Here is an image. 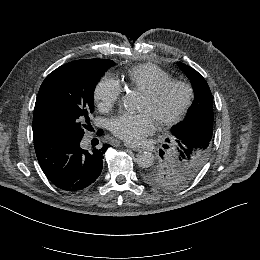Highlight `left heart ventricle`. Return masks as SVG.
<instances>
[{"instance_id":"b2bd125f","label":"left heart ventricle","mask_w":260,"mask_h":260,"mask_svg":"<svg viewBox=\"0 0 260 260\" xmlns=\"http://www.w3.org/2000/svg\"><path fill=\"white\" fill-rule=\"evenodd\" d=\"M186 92L180 87H173L158 101L150 103L142 93L140 109L147 110L155 125L173 114L184 104Z\"/></svg>"}]
</instances>
